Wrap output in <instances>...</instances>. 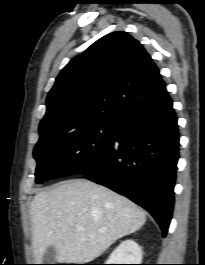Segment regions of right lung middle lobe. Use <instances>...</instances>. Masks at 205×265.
<instances>
[{
    "instance_id": "right-lung-middle-lobe-1",
    "label": "right lung middle lobe",
    "mask_w": 205,
    "mask_h": 265,
    "mask_svg": "<svg viewBox=\"0 0 205 265\" xmlns=\"http://www.w3.org/2000/svg\"><path fill=\"white\" fill-rule=\"evenodd\" d=\"M117 123L94 122L65 132L46 129L33 155L37 161L36 183L77 174L114 138Z\"/></svg>"
}]
</instances>
